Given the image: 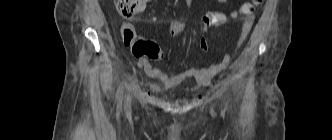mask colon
I'll return each mask as SVG.
<instances>
[{
	"label": "colon",
	"instance_id": "obj_1",
	"mask_svg": "<svg viewBox=\"0 0 332 140\" xmlns=\"http://www.w3.org/2000/svg\"><path fill=\"white\" fill-rule=\"evenodd\" d=\"M118 13L124 18H131L143 10L147 0H114ZM263 0H249L241 7V12L247 16L253 14L255 8ZM226 21L224 14L209 12L201 20L200 31L208 32L210 29L223 25ZM190 29V24L183 20H174L169 23L168 32L171 36H179ZM123 41L131 47L133 54L137 57H145L151 60H159L163 56L161 48L154 42L144 40L137 36L133 27L129 24L122 29Z\"/></svg>",
	"mask_w": 332,
	"mask_h": 140
}]
</instances>
